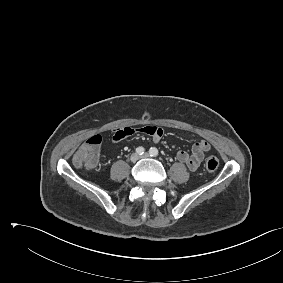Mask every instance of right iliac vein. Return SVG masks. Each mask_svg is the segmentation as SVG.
Here are the masks:
<instances>
[{"label": "right iliac vein", "instance_id": "right-iliac-vein-1", "mask_svg": "<svg viewBox=\"0 0 283 283\" xmlns=\"http://www.w3.org/2000/svg\"><path fill=\"white\" fill-rule=\"evenodd\" d=\"M139 158H140L139 154L133 153V154L131 155V157H130V160H131L132 162H136Z\"/></svg>", "mask_w": 283, "mask_h": 283}]
</instances>
